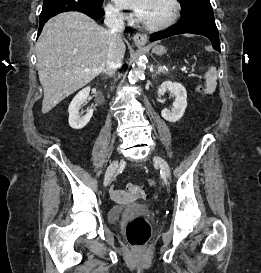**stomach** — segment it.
I'll return each instance as SVG.
<instances>
[{"instance_id":"1","label":"stomach","mask_w":261,"mask_h":273,"mask_svg":"<svg viewBox=\"0 0 261 273\" xmlns=\"http://www.w3.org/2000/svg\"><path fill=\"white\" fill-rule=\"evenodd\" d=\"M152 51L157 55H162L166 52V49L163 46L155 45Z\"/></svg>"}]
</instances>
